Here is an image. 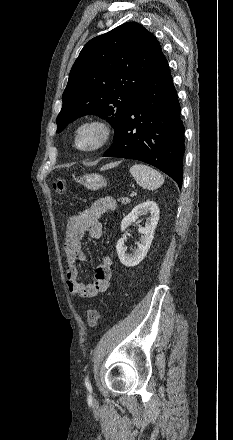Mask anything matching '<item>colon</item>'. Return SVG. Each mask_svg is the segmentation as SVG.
Listing matches in <instances>:
<instances>
[{"label": "colon", "mask_w": 233, "mask_h": 440, "mask_svg": "<svg viewBox=\"0 0 233 440\" xmlns=\"http://www.w3.org/2000/svg\"><path fill=\"white\" fill-rule=\"evenodd\" d=\"M53 189L59 193L64 194L66 192V179L63 176H56L52 180ZM100 318V313L97 309L91 308L87 313V323L89 326L94 327Z\"/></svg>", "instance_id": "5ec220e1"}]
</instances>
